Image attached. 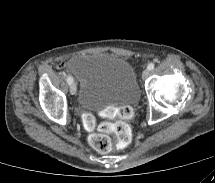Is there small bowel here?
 Returning a JSON list of instances; mask_svg holds the SVG:
<instances>
[{
	"mask_svg": "<svg viewBox=\"0 0 215 183\" xmlns=\"http://www.w3.org/2000/svg\"><path fill=\"white\" fill-rule=\"evenodd\" d=\"M64 65H65V62L61 63V64L59 65V67H62V66H64Z\"/></svg>",
	"mask_w": 215,
	"mask_h": 183,
	"instance_id": "1",
	"label": "small bowel"
}]
</instances>
